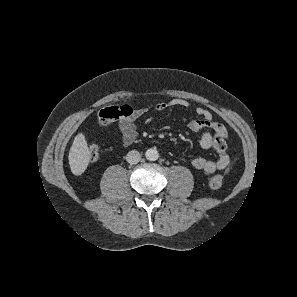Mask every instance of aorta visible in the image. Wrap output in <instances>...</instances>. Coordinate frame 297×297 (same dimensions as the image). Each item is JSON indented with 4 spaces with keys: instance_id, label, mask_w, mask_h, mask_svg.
Segmentation results:
<instances>
[{
    "instance_id": "aorta-1",
    "label": "aorta",
    "mask_w": 297,
    "mask_h": 297,
    "mask_svg": "<svg viewBox=\"0 0 297 297\" xmlns=\"http://www.w3.org/2000/svg\"><path fill=\"white\" fill-rule=\"evenodd\" d=\"M145 157L149 161H156L159 158V153L155 148H150L145 152Z\"/></svg>"
}]
</instances>
